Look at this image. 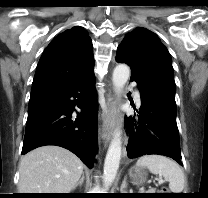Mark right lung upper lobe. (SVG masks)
Masks as SVG:
<instances>
[{
    "mask_svg": "<svg viewBox=\"0 0 208 198\" xmlns=\"http://www.w3.org/2000/svg\"><path fill=\"white\" fill-rule=\"evenodd\" d=\"M92 41L80 26L56 36L43 52L30 99L63 91L93 73Z\"/></svg>",
    "mask_w": 208,
    "mask_h": 198,
    "instance_id": "obj_1",
    "label": "right lung upper lobe"
}]
</instances>
